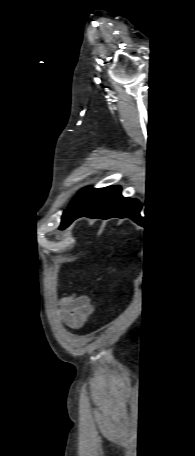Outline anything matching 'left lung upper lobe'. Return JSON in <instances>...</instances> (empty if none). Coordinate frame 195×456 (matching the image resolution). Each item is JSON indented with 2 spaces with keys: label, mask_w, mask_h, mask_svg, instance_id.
Listing matches in <instances>:
<instances>
[{
  "label": "left lung upper lobe",
  "mask_w": 195,
  "mask_h": 456,
  "mask_svg": "<svg viewBox=\"0 0 195 456\" xmlns=\"http://www.w3.org/2000/svg\"><path fill=\"white\" fill-rule=\"evenodd\" d=\"M101 189H93L91 187H86L82 189L76 198L70 203V206L67 210L64 211L62 216V222L60 229H62L63 224L66 220L80 210L86 203H88Z\"/></svg>",
  "instance_id": "1"
}]
</instances>
